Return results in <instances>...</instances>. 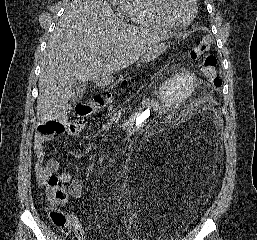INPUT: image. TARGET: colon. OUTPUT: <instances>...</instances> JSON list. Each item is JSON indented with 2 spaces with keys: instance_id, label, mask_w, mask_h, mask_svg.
I'll list each match as a JSON object with an SVG mask.
<instances>
[{
  "instance_id": "1",
  "label": "colon",
  "mask_w": 257,
  "mask_h": 240,
  "mask_svg": "<svg viewBox=\"0 0 257 240\" xmlns=\"http://www.w3.org/2000/svg\"><path fill=\"white\" fill-rule=\"evenodd\" d=\"M212 40L210 36H205L199 43L195 44L188 52V57L192 60L201 59L200 67L203 76L211 83L214 88L222 85V79L216 72L217 59L213 54H207L210 50ZM133 82V79L126 80L124 85L127 86ZM112 102L111 95H103L96 97L91 102L80 103L76 109V125H84L88 119L99 109L109 106ZM65 126L57 121H44L38 125V132L44 135H52L60 133ZM47 199L53 206L62 205L68 197L67 190L55 175H50L46 179ZM50 220L52 224L62 231H68L70 222L69 218L61 210L55 209L50 212Z\"/></svg>"
}]
</instances>
